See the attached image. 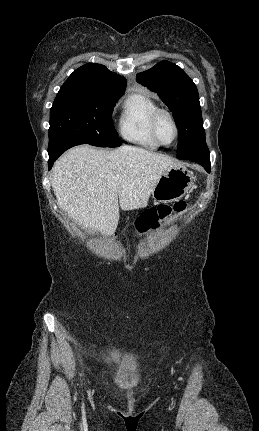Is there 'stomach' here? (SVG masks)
I'll return each mask as SVG.
<instances>
[{
    "instance_id": "1",
    "label": "stomach",
    "mask_w": 259,
    "mask_h": 431,
    "mask_svg": "<svg viewBox=\"0 0 259 431\" xmlns=\"http://www.w3.org/2000/svg\"><path fill=\"white\" fill-rule=\"evenodd\" d=\"M192 173L182 166L172 167L164 172L152 191L157 202H173L182 198L193 186Z\"/></svg>"
}]
</instances>
